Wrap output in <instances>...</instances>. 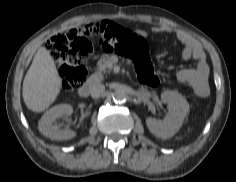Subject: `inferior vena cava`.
Listing matches in <instances>:
<instances>
[{"label": "inferior vena cava", "instance_id": "inferior-vena-cava-1", "mask_svg": "<svg viewBox=\"0 0 236 182\" xmlns=\"http://www.w3.org/2000/svg\"><path fill=\"white\" fill-rule=\"evenodd\" d=\"M105 91V86L101 83L94 84L91 87L92 98H99Z\"/></svg>", "mask_w": 236, "mask_h": 182}]
</instances>
